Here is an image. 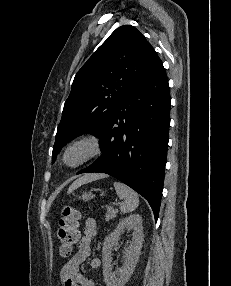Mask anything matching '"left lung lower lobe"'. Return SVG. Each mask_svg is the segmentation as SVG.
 Masks as SVG:
<instances>
[{
  "label": "left lung lower lobe",
  "mask_w": 231,
  "mask_h": 286,
  "mask_svg": "<svg viewBox=\"0 0 231 286\" xmlns=\"http://www.w3.org/2000/svg\"><path fill=\"white\" fill-rule=\"evenodd\" d=\"M168 78L160 60L115 106L101 133L103 154L78 172L109 174L150 204L158 218L170 125Z\"/></svg>",
  "instance_id": "1"
}]
</instances>
